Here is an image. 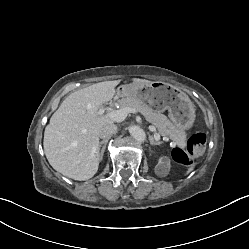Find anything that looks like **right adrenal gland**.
I'll use <instances>...</instances> for the list:
<instances>
[{
	"mask_svg": "<svg viewBox=\"0 0 249 249\" xmlns=\"http://www.w3.org/2000/svg\"><path fill=\"white\" fill-rule=\"evenodd\" d=\"M108 142V139L102 140L98 145V151L100 152V159L103 158L104 151H105V145L102 147L103 144H106ZM102 147V149H101ZM101 149V150H100Z\"/></svg>",
	"mask_w": 249,
	"mask_h": 249,
	"instance_id": "obj_1",
	"label": "right adrenal gland"
}]
</instances>
